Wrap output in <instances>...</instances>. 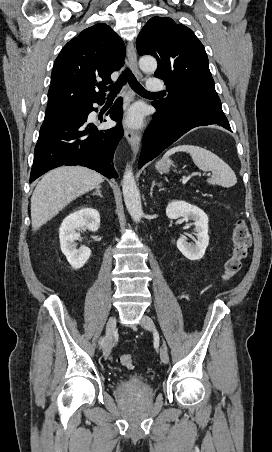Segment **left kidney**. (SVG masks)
Masks as SVG:
<instances>
[{"instance_id":"left-kidney-1","label":"left kidney","mask_w":272,"mask_h":452,"mask_svg":"<svg viewBox=\"0 0 272 452\" xmlns=\"http://www.w3.org/2000/svg\"><path fill=\"white\" fill-rule=\"evenodd\" d=\"M166 215L169 219L183 217L186 222L189 220L193 221L197 238L195 244H190L187 242L186 237H181L177 240V248L187 259L192 261L200 260L209 245L208 216L206 213L195 205L175 200L168 204Z\"/></svg>"}]
</instances>
